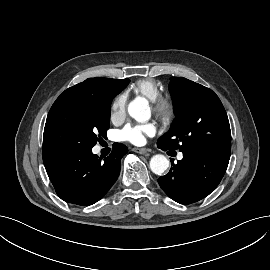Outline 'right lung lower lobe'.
<instances>
[{"label": "right lung lower lobe", "instance_id": "1", "mask_svg": "<svg viewBox=\"0 0 270 270\" xmlns=\"http://www.w3.org/2000/svg\"><path fill=\"white\" fill-rule=\"evenodd\" d=\"M128 152L116 143L103 161L91 149H43L46 172L57 195L64 201L89 206L99 201L120 173L121 158Z\"/></svg>", "mask_w": 270, "mask_h": 270}]
</instances>
